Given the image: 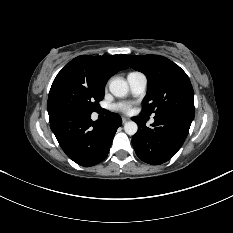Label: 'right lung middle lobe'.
<instances>
[{
  "label": "right lung middle lobe",
  "mask_w": 233,
  "mask_h": 233,
  "mask_svg": "<svg viewBox=\"0 0 233 233\" xmlns=\"http://www.w3.org/2000/svg\"><path fill=\"white\" fill-rule=\"evenodd\" d=\"M103 97V87L73 76L56 77L49 92L47 110L69 109L91 114Z\"/></svg>",
  "instance_id": "dd1d6c3e"
}]
</instances>
